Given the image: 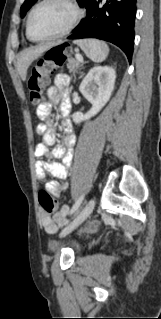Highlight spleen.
<instances>
[{
    "instance_id": "3e777b00",
    "label": "spleen",
    "mask_w": 161,
    "mask_h": 319,
    "mask_svg": "<svg viewBox=\"0 0 161 319\" xmlns=\"http://www.w3.org/2000/svg\"><path fill=\"white\" fill-rule=\"evenodd\" d=\"M85 53V55L95 63L104 61L109 53L108 45L97 39H83L74 42Z\"/></svg>"
}]
</instances>
